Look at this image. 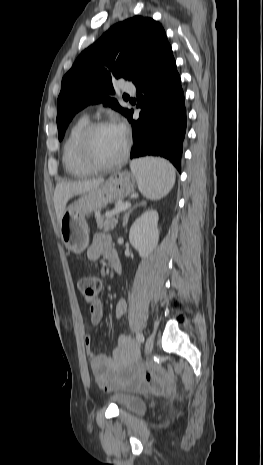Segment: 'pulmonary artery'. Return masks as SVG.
<instances>
[{"label":"pulmonary artery","instance_id":"e3ab8cb5","mask_svg":"<svg viewBox=\"0 0 263 465\" xmlns=\"http://www.w3.org/2000/svg\"><path fill=\"white\" fill-rule=\"evenodd\" d=\"M122 90H123L124 92L134 93V92H135V87L132 86V85H124V86L122 87Z\"/></svg>","mask_w":263,"mask_h":465}]
</instances>
